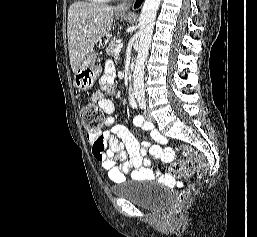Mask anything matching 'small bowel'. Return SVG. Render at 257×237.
I'll return each mask as SVG.
<instances>
[{"label":"small bowel","instance_id":"1","mask_svg":"<svg viewBox=\"0 0 257 237\" xmlns=\"http://www.w3.org/2000/svg\"><path fill=\"white\" fill-rule=\"evenodd\" d=\"M115 83L113 67L107 63L105 72L99 80V88L91 96L107 115L115 111V103L108 97L113 93ZM104 123L109 128L101 133H88L87 140L92 147L94 157L113 182H122L128 173L134 180L156 179L169 184L177 182L175 177L165 174L162 168H149L150 160L145 158L147 151L153 159L164 161L173 159V151L160 146L167 143V138L152 129L142 117H135L134 123L150 134L157 144L152 145L149 142L140 144L125 126L115 125L111 116H108ZM117 161L120 163L117 164Z\"/></svg>","mask_w":257,"mask_h":237}]
</instances>
